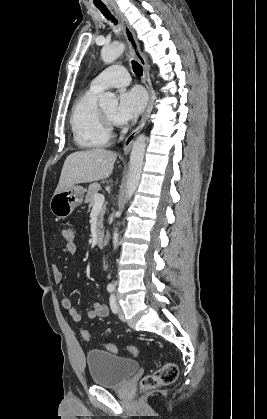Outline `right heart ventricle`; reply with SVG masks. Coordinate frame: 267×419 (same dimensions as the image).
<instances>
[{"label":"right heart ventricle","mask_w":267,"mask_h":419,"mask_svg":"<svg viewBox=\"0 0 267 419\" xmlns=\"http://www.w3.org/2000/svg\"><path fill=\"white\" fill-rule=\"evenodd\" d=\"M100 94L101 91L90 87L78 97L71 111L74 140L84 149L105 147L110 141V133L103 123L98 105Z\"/></svg>","instance_id":"obj_1"}]
</instances>
